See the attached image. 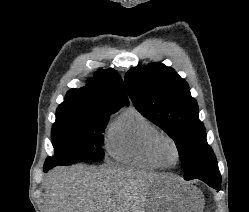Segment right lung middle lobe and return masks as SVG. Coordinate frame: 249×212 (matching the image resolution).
<instances>
[{
  "label": "right lung middle lobe",
  "instance_id": "obj_1",
  "mask_svg": "<svg viewBox=\"0 0 249 212\" xmlns=\"http://www.w3.org/2000/svg\"><path fill=\"white\" fill-rule=\"evenodd\" d=\"M116 109L61 104L52 126L55 156L48 157L45 166L70 165L76 162L101 161L103 132Z\"/></svg>",
  "mask_w": 249,
  "mask_h": 212
}]
</instances>
